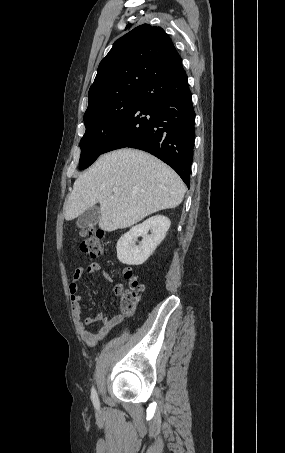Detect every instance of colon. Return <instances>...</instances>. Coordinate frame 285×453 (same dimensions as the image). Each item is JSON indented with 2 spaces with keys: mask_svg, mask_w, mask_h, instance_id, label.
I'll return each mask as SVG.
<instances>
[{
  "mask_svg": "<svg viewBox=\"0 0 285 453\" xmlns=\"http://www.w3.org/2000/svg\"><path fill=\"white\" fill-rule=\"evenodd\" d=\"M80 235L84 238L81 243V250L91 258L99 257L102 251L101 245L105 237V231L100 228L90 227L82 230ZM124 276L129 281V288H119L117 293L121 297L122 310L130 313L140 301L144 287L138 282L130 269H126Z\"/></svg>",
  "mask_w": 285,
  "mask_h": 453,
  "instance_id": "obj_1",
  "label": "colon"
}]
</instances>
